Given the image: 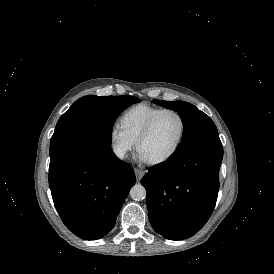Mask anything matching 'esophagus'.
Masks as SVG:
<instances>
[{"instance_id":"obj_1","label":"esophagus","mask_w":274,"mask_h":274,"mask_svg":"<svg viewBox=\"0 0 274 274\" xmlns=\"http://www.w3.org/2000/svg\"><path fill=\"white\" fill-rule=\"evenodd\" d=\"M134 171H135V175L138 180H140L143 177V175L145 174V172L143 170L138 169V168H135Z\"/></svg>"}]
</instances>
